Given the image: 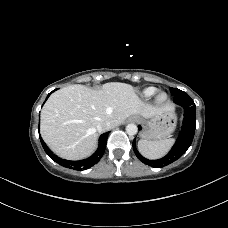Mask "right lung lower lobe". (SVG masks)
<instances>
[{"label":"right lung lower lobe","instance_id":"obj_1","mask_svg":"<svg viewBox=\"0 0 228 228\" xmlns=\"http://www.w3.org/2000/svg\"><path fill=\"white\" fill-rule=\"evenodd\" d=\"M49 95L47 96V98L49 97ZM107 138H108V132L102 134L99 138V147L97 151L91 157L80 161H69V160L59 158L47 147V145L45 144V142L42 140L41 137H40V140L47 155L56 163L74 170H86L92 167L97 162H99V160L102 158L107 144Z\"/></svg>","mask_w":228,"mask_h":228}]
</instances>
